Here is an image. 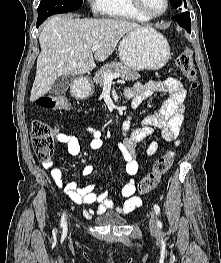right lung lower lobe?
<instances>
[{
    "label": "right lung lower lobe",
    "mask_w": 221,
    "mask_h": 263,
    "mask_svg": "<svg viewBox=\"0 0 221 263\" xmlns=\"http://www.w3.org/2000/svg\"><path fill=\"white\" fill-rule=\"evenodd\" d=\"M46 18H47V17H44V18H38V19H37L36 27H39V26L43 23V21H44Z\"/></svg>",
    "instance_id": "obj_1"
}]
</instances>
